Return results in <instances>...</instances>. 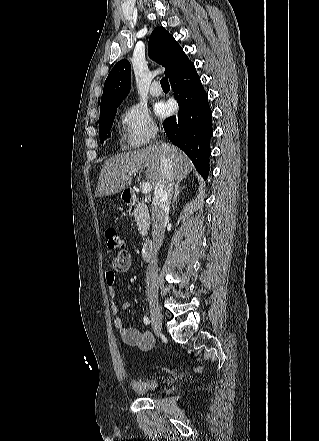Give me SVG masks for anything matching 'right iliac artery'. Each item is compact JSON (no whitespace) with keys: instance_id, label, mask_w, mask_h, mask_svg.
<instances>
[{"instance_id":"1","label":"right iliac artery","mask_w":319,"mask_h":441,"mask_svg":"<svg viewBox=\"0 0 319 441\" xmlns=\"http://www.w3.org/2000/svg\"><path fill=\"white\" fill-rule=\"evenodd\" d=\"M143 322H144L146 325H149L150 320H149V318H148L147 316H144V318H143Z\"/></svg>"}]
</instances>
